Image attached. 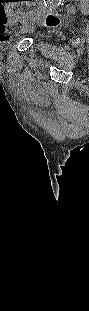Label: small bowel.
Segmentation results:
<instances>
[{
	"label": "small bowel",
	"instance_id": "c3829d8e",
	"mask_svg": "<svg viewBox=\"0 0 89 311\" xmlns=\"http://www.w3.org/2000/svg\"><path fill=\"white\" fill-rule=\"evenodd\" d=\"M11 18H15V14H10L9 15ZM14 35L12 33H6V34H2L0 37V41L1 43L5 44V43H9L11 40H13Z\"/></svg>",
	"mask_w": 89,
	"mask_h": 311
}]
</instances>
